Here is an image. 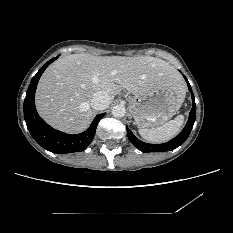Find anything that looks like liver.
<instances>
[{
    "instance_id": "obj_1",
    "label": "liver",
    "mask_w": 233,
    "mask_h": 233,
    "mask_svg": "<svg viewBox=\"0 0 233 233\" xmlns=\"http://www.w3.org/2000/svg\"><path fill=\"white\" fill-rule=\"evenodd\" d=\"M162 87L172 88L179 102L183 101L184 81L162 59L72 54L46 69L37 86L35 103L48 124L67 133H79L91 123L90 102L96 92H106L111 102L121 89L144 95Z\"/></svg>"
}]
</instances>
